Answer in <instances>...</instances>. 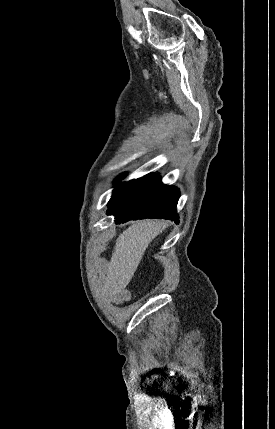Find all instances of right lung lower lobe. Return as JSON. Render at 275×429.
Returning <instances> with one entry per match:
<instances>
[{"mask_svg": "<svg viewBox=\"0 0 275 429\" xmlns=\"http://www.w3.org/2000/svg\"><path fill=\"white\" fill-rule=\"evenodd\" d=\"M178 188L161 183L160 175L150 173L133 180L115 194L108 203V215L117 223L145 218H164L179 222L176 206Z\"/></svg>", "mask_w": 275, "mask_h": 429, "instance_id": "right-lung-lower-lobe-1", "label": "right lung lower lobe"}]
</instances>
